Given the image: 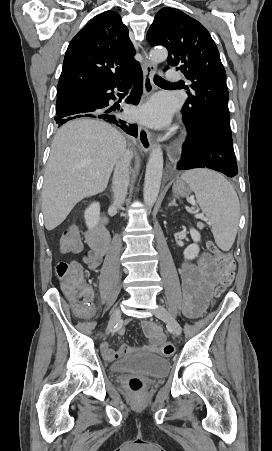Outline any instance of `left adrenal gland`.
<instances>
[{"mask_svg": "<svg viewBox=\"0 0 272 451\" xmlns=\"http://www.w3.org/2000/svg\"><path fill=\"white\" fill-rule=\"evenodd\" d=\"M168 206H178V204H176V198H173L172 202H170Z\"/></svg>", "mask_w": 272, "mask_h": 451, "instance_id": "obj_1", "label": "left adrenal gland"}]
</instances>
